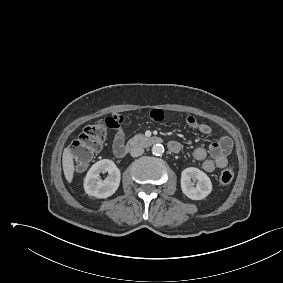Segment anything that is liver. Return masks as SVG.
<instances>
[{
  "mask_svg": "<svg viewBox=\"0 0 283 283\" xmlns=\"http://www.w3.org/2000/svg\"><path fill=\"white\" fill-rule=\"evenodd\" d=\"M62 165L65 178L69 183H71L73 180L75 166L73 161V154L69 147H66L63 151Z\"/></svg>",
  "mask_w": 283,
  "mask_h": 283,
  "instance_id": "1",
  "label": "liver"
}]
</instances>
